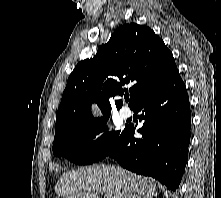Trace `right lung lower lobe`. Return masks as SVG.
<instances>
[{"label":"right lung lower lobe","mask_w":221,"mask_h":198,"mask_svg":"<svg viewBox=\"0 0 221 198\" xmlns=\"http://www.w3.org/2000/svg\"><path fill=\"white\" fill-rule=\"evenodd\" d=\"M133 110L144 113L140 117L144 125L138 130L142 138H134V126L127 125L119 144L106 157L175 191L187 163L191 124L189 98L178 70Z\"/></svg>","instance_id":"obj_1"}]
</instances>
